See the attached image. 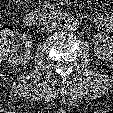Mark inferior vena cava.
I'll use <instances>...</instances> for the list:
<instances>
[{
	"mask_svg": "<svg viewBox=\"0 0 113 113\" xmlns=\"http://www.w3.org/2000/svg\"><path fill=\"white\" fill-rule=\"evenodd\" d=\"M56 28H57V23L50 20L45 21L44 23H42V26H41V30L43 32H51Z\"/></svg>",
	"mask_w": 113,
	"mask_h": 113,
	"instance_id": "602c4592",
	"label": "inferior vena cava"
}]
</instances>
